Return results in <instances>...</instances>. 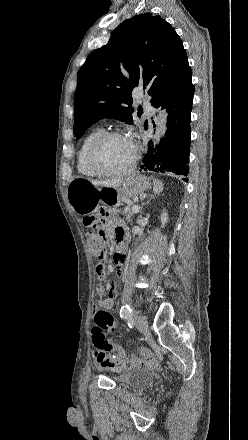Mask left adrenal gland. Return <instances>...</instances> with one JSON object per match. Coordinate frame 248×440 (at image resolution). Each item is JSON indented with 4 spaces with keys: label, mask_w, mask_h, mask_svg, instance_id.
Wrapping results in <instances>:
<instances>
[{
    "label": "left adrenal gland",
    "mask_w": 248,
    "mask_h": 440,
    "mask_svg": "<svg viewBox=\"0 0 248 440\" xmlns=\"http://www.w3.org/2000/svg\"><path fill=\"white\" fill-rule=\"evenodd\" d=\"M152 198H154V197L151 196L149 200H151ZM148 202H149V201H148ZM148 202H147V203H148ZM141 217H142V211H140V215H139V218H141Z\"/></svg>",
    "instance_id": "a2214340"
}]
</instances>
